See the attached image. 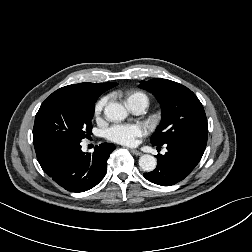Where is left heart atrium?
<instances>
[{
	"label": "left heart atrium",
	"mask_w": 252,
	"mask_h": 252,
	"mask_svg": "<svg viewBox=\"0 0 252 252\" xmlns=\"http://www.w3.org/2000/svg\"><path fill=\"white\" fill-rule=\"evenodd\" d=\"M145 134L146 128L141 124H116L106 131L109 140L123 145H134Z\"/></svg>",
	"instance_id": "obj_1"
}]
</instances>
